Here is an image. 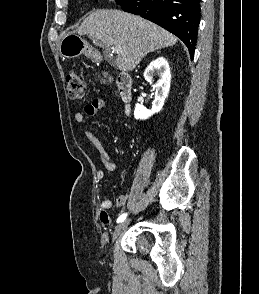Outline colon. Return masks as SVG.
<instances>
[{"instance_id": "1", "label": "colon", "mask_w": 259, "mask_h": 294, "mask_svg": "<svg viewBox=\"0 0 259 294\" xmlns=\"http://www.w3.org/2000/svg\"><path fill=\"white\" fill-rule=\"evenodd\" d=\"M103 82H109L111 79L107 74L102 75ZM66 87L71 99H80L85 92V82L82 75L77 70H70L66 75Z\"/></svg>"}]
</instances>
